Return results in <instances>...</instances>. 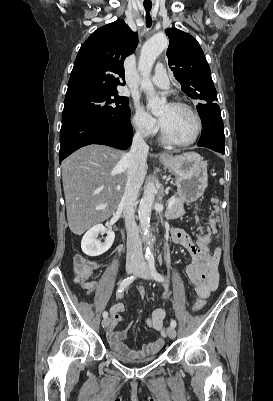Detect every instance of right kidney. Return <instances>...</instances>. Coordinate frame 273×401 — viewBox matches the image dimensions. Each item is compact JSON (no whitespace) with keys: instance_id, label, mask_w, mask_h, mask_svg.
I'll return each instance as SVG.
<instances>
[{"instance_id":"right-kidney-1","label":"right kidney","mask_w":273,"mask_h":401,"mask_svg":"<svg viewBox=\"0 0 273 401\" xmlns=\"http://www.w3.org/2000/svg\"><path fill=\"white\" fill-rule=\"evenodd\" d=\"M102 233H107L108 235L104 243H100L98 239V235H102ZM114 239L113 231H108L103 225H95L85 233L81 241V249L88 257H99V255H103L112 247Z\"/></svg>"}]
</instances>
